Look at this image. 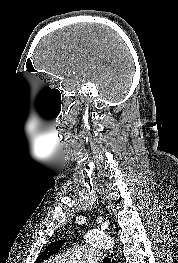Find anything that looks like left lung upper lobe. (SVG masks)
<instances>
[{
  "label": "left lung upper lobe",
  "mask_w": 178,
  "mask_h": 263,
  "mask_svg": "<svg viewBox=\"0 0 178 263\" xmlns=\"http://www.w3.org/2000/svg\"><path fill=\"white\" fill-rule=\"evenodd\" d=\"M64 240H59L55 243L50 244L49 246L46 247L45 251L41 253L35 263H41L44 260H48V258L56 253L61 246L64 244Z\"/></svg>",
  "instance_id": "1"
}]
</instances>
